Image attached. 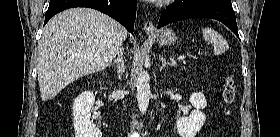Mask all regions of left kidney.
Listing matches in <instances>:
<instances>
[{"label": "left kidney", "instance_id": "obj_1", "mask_svg": "<svg viewBox=\"0 0 280 137\" xmlns=\"http://www.w3.org/2000/svg\"><path fill=\"white\" fill-rule=\"evenodd\" d=\"M189 101L194 107V110L189 116L180 117L176 121L177 132L181 137H195L206 120L205 114L201 111L207 105L203 93H193Z\"/></svg>", "mask_w": 280, "mask_h": 137}]
</instances>
